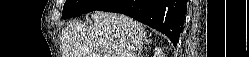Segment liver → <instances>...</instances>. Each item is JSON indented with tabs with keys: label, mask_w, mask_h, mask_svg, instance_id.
<instances>
[{
	"label": "liver",
	"mask_w": 249,
	"mask_h": 57,
	"mask_svg": "<svg viewBox=\"0 0 249 57\" xmlns=\"http://www.w3.org/2000/svg\"><path fill=\"white\" fill-rule=\"evenodd\" d=\"M94 23H69L61 34L62 57H137L147 39L145 26L118 13L96 11Z\"/></svg>",
	"instance_id": "liver-1"
}]
</instances>
